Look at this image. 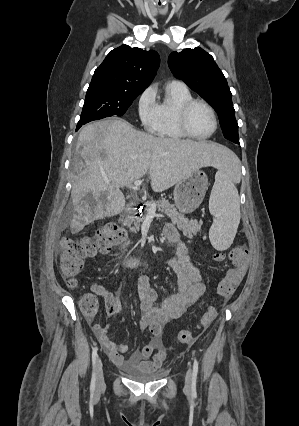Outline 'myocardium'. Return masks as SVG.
<instances>
[{
    "label": "myocardium",
    "mask_w": 299,
    "mask_h": 426,
    "mask_svg": "<svg viewBox=\"0 0 299 426\" xmlns=\"http://www.w3.org/2000/svg\"><path fill=\"white\" fill-rule=\"evenodd\" d=\"M197 104H201V105L205 106L210 111V113L213 117V121H214V128H213L212 132L207 134V135H204V136L194 134L191 131V129L189 127V123H188L189 113H190L191 109ZM178 124H179L180 130L182 131V133L186 137L197 139V140H205V139L212 137L217 132L218 126H219L218 117H217L216 111L212 107V105H210L205 100L195 99V98H192V99L186 101L181 106L179 113H178Z\"/></svg>",
    "instance_id": "myocardium-1"
}]
</instances>
